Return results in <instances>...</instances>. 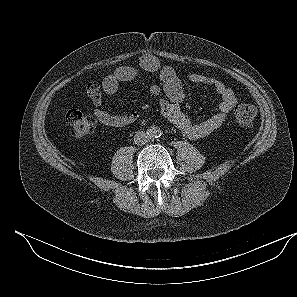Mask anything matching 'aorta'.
<instances>
[{
  "label": "aorta",
  "instance_id": "obj_1",
  "mask_svg": "<svg viewBox=\"0 0 297 297\" xmlns=\"http://www.w3.org/2000/svg\"><path fill=\"white\" fill-rule=\"evenodd\" d=\"M160 130L158 129V128H156V127H152L150 130H149V135H150V137H155V138H157V137H159L160 136Z\"/></svg>",
  "mask_w": 297,
  "mask_h": 297
}]
</instances>
